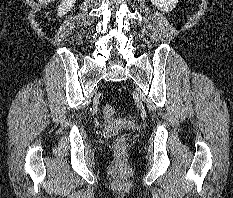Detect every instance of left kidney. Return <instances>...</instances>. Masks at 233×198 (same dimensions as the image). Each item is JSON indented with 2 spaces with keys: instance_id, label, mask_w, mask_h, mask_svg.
Masks as SVG:
<instances>
[{
  "instance_id": "5707ae66",
  "label": "left kidney",
  "mask_w": 233,
  "mask_h": 198,
  "mask_svg": "<svg viewBox=\"0 0 233 198\" xmlns=\"http://www.w3.org/2000/svg\"><path fill=\"white\" fill-rule=\"evenodd\" d=\"M153 5L161 9V11L168 13L172 11L179 0H150Z\"/></svg>"
}]
</instances>
